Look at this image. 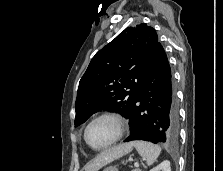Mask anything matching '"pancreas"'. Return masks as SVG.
I'll use <instances>...</instances> for the list:
<instances>
[{
	"label": "pancreas",
	"mask_w": 223,
	"mask_h": 171,
	"mask_svg": "<svg viewBox=\"0 0 223 171\" xmlns=\"http://www.w3.org/2000/svg\"><path fill=\"white\" fill-rule=\"evenodd\" d=\"M133 171H141L140 169H135V170H133Z\"/></svg>",
	"instance_id": "pancreas-1"
}]
</instances>
